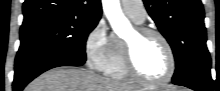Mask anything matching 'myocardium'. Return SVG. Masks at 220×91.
<instances>
[{
  "instance_id": "myocardium-1",
  "label": "myocardium",
  "mask_w": 220,
  "mask_h": 91,
  "mask_svg": "<svg viewBox=\"0 0 220 91\" xmlns=\"http://www.w3.org/2000/svg\"><path fill=\"white\" fill-rule=\"evenodd\" d=\"M134 37L136 39L146 38L148 36H153L158 38L162 44L164 45L169 59V69L168 72L160 79L151 80L145 78L137 68L134 56V43L133 40L124 39L123 47H124V61L125 67L130 75V77L137 81L138 83L145 86H160L167 83L173 77L176 70V57L174 50L168 41V39L159 31L152 29L150 27L145 26H136L133 29Z\"/></svg>"
}]
</instances>
